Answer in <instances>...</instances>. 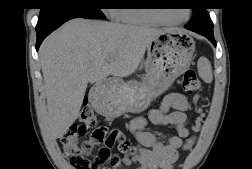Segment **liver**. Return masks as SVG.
Masks as SVG:
<instances>
[{"mask_svg":"<svg viewBox=\"0 0 252 169\" xmlns=\"http://www.w3.org/2000/svg\"><path fill=\"white\" fill-rule=\"evenodd\" d=\"M164 31L75 18L51 33L39 49L50 136L63 137L75 122L88 83L133 74L148 45Z\"/></svg>","mask_w":252,"mask_h":169,"instance_id":"obj_1","label":"liver"}]
</instances>
